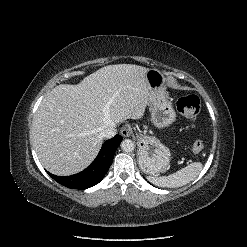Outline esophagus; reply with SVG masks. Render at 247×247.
Wrapping results in <instances>:
<instances>
[{
  "label": "esophagus",
  "mask_w": 247,
  "mask_h": 247,
  "mask_svg": "<svg viewBox=\"0 0 247 247\" xmlns=\"http://www.w3.org/2000/svg\"><path fill=\"white\" fill-rule=\"evenodd\" d=\"M132 128L129 125H124L121 130H120V134L123 137H129L132 135Z\"/></svg>",
  "instance_id": "1"
}]
</instances>
